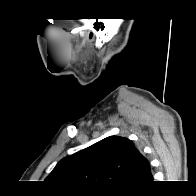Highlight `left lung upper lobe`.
Returning a JSON list of instances; mask_svg holds the SVG:
<instances>
[{"mask_svg": "<svg viewBox=\"0 0 196 196\" xmlns=\"http://www.w3.org/2000/svg\"><path fill=\"white\" fill-rule=\"evenodd\" d=\"M149 171V161L129 139L109 136L60 160L46 180L58 188L130 192L145 183Z\"/></svg>", "mask_w": 196, "mask_h": 196, "instance_id": "5c2ea615", "label": "left lung upper lobe"}]
</instances>
